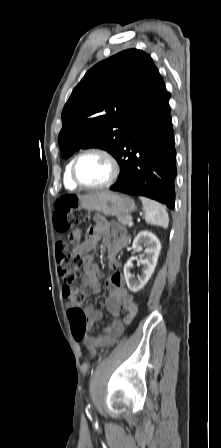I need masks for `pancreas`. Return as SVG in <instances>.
I'll use <instances>...</instances> for the list:
<instances>
[{"mask_svg":"<svg viewBox=\"0 0 221 448\" xmlns=\"http://www.w3.org/2000/svg\"><path fill=\"white\" fill-rule=\"evenodd\" d=\"M118 221L122 224V225H127L129 221H131V216H117Z\"/></svg>","mask_w":221,"mask_h":448,"instance_id":"obj_1","label":"pancreas"}]
</instances>
